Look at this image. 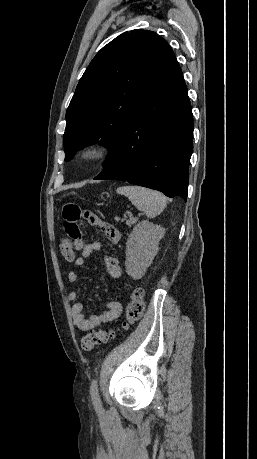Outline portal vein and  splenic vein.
Instances as JSON below:
<instances>
[{
  "label": "portal vein and splenic vein",
  "mask_w": 257,
  "mask_h": 459,
  "mask_svg": "<svg viewBox=\"0 0 257 459\" xmlns=\"http://www.w3.org/2000/svg\"><path fill=\"white\" fill-rule=\"evenodd\" d=\"M132 223H134V220H132V221H131V220H127V221H126V224H127V225H130V224H132Z\"/></svg>",
  "instance_id": "obj_1"
}]
</instances>
